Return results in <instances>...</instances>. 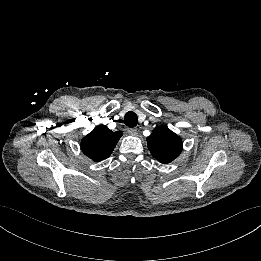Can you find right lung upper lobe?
<instances>
[{"instance_id": "1", "label": "right lung upper lobe", "mask_w": 261, "mask_h": 261, "mask_svg": "<svg viewBox=\"0 0 261 261\" xmlns=\"http://www.w3.org/2000/svg\"><path fill=\"white\" fill-rule=\"evenodd\" d=\"M122 132H113L105 125H98L81 140L82 152L94 161H101L110 156Z\"/></svg>"}]
</instances>
